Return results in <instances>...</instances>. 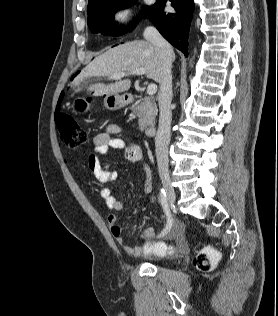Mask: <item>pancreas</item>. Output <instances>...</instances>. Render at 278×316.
Listing matches in <instances>:
<instances>
[{
  "label": "pancreas",
  "mask_w": 278,
  "mask_h": 316,
  "mask_svg": "<svg viewBox=\"0 0 278 316\" xmlns=\"http://www.w3.org/2000/svg\"><path fill=\"white\" fill-rule=\"evenodd\" d=\"M130 109L139 118L138 124L140 131H144L147 127H154L158 109L155 101L151 97L141 98L140 101L133 104Z\"/></svg>",
  "instance_id": "obj_1"
}]
</instances>
